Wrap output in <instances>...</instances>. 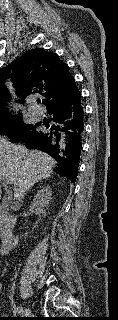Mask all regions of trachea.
<instances>
[{
    "label": "trachea",
    "mask_w": 118,
    "mask_h": 320,
    "mask_svg": "<svg viewBox=\"0 0 118 320\" xmlns=\"http://www.w3.org/2000/svg\"><path fill=\"white\" fill-rule=\"evenodd\" d=\"M41 102V100H37V103H40Z\"/></svg>",
    "instance_id": "3493384b"
}]
</instances>
